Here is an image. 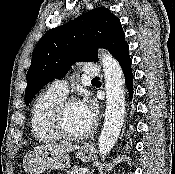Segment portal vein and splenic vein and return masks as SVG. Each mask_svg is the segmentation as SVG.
Instances as JSON below:
<instances>
[{"label":"portal vein and splenic vein","instance_id":"1","mask_svg":"<svg viewBox=\"0 0 175 174\" xmlns=\"http://www.w3.org/2000/svg\"><path fill=\"white\" fill-rule=\"evenodd\" d=\"M79 174H85V170H81Z\"/></svg>","mask_w":175,"mask_h":174}]
</instances>
